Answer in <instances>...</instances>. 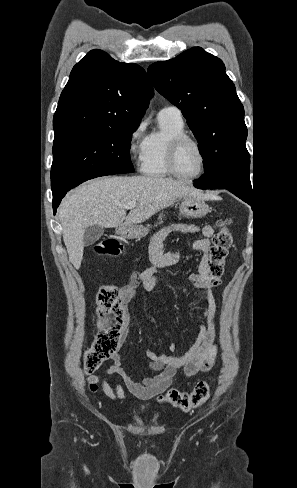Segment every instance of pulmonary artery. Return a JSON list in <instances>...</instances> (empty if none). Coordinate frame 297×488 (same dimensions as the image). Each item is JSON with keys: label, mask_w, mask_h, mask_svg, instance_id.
Segmentation results:
<instances>
[{"label": "pulmonary artery", "mask_w": 297, "mask_h": 488, "mask_svg": "<svg viewBox=\"0 0 297 488\" xmlns=\"http://www.w3.org/2000/svg\"><path fill=\"white\" fill-rule=\"evenodd\" d=\"M159 116H169V117H174V118L182 119L181 111L176 106H167V107H164L159 112Z\"/></svg>", "instance_id": "pulmonary-artery-1"}]
</instances>
